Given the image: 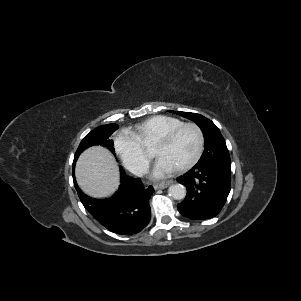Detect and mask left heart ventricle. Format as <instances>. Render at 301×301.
<instances>
[{
    "mask_svg": "<svg viewBox=\"0 0 301 301\" xmlns=\"http://www.w3.org/2000/svg\"><path fill=\"white\" fill-rule=\"evenodd\" d=\"M197 148V134L193 128H184L169 143L156 142L154 155L173 163L176 167L187 162Z\"/></svg>",
    "mask_w": 301,
    "mask_h": 301,
    "instance_id": "left-heart-ventricle-1",
    "label": "left heart ventricle"
}]
</instances>
